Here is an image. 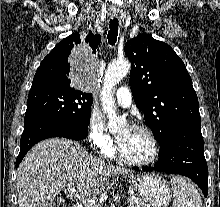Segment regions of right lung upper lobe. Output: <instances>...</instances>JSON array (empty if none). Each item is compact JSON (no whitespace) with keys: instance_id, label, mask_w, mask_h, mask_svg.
Segmentation results:
<instances>
[{"instance_id":"obj_1","label":"right lung upper lobe","mask_w":220,"mask_h":207,"mask_svg":"<svg viewBox=\"0 0 220 207\" xmlns=\"http://www.w3.org/2000/svg\"><path fill=\"white\" fill-rule=\"evenodd\" d=\"M82 42L79 33H72L59 42L55 48L42 60L38 67L31 87L40 85H56L62 87H71V80L69 78L70 63L68 58L73 47ZM86 43L96 53V48L101 42L100 35H89L85 39Z\"/></svg>"}]
</instances>
